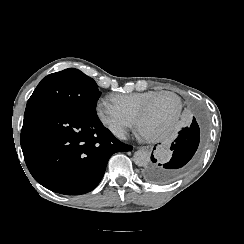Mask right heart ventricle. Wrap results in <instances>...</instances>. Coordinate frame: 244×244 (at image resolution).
Wrapping results in <instances>:
<instances>
[{"label":"right heart ventricle","instance_id":"obj_1","mask_svg":"<svg viewBox=\"0 0 244 244\" xmlns=\"http://www.w3.org/2000/svg\"><path fill=\"white\" fill-rule=\"evenodd\" d=\"M156 93H162L161 91H148L143 93H134L121 95L112 93L107 96V99L116 105L127 106L134 109V111L139 115L142 106L151 100Z\"/></svg>","mask_w":244,"mask_h":244}]
</instances>
